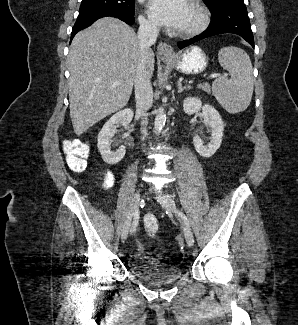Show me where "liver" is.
<instances>
[{
  "mask_svg": "<svg viewBox=\"0 0 298 325\" xmlns=\"http://www.w3.org/2000/svg\"><path fill=\"white\" fill-rule=\"evenodd\" d=\"M140 56L138 34L123 20L105 16L75 34L68 54L69 108L75 134L121 110L132 92ZM154 52L147 68L152 76ZM120 80L118 84H114Z\"/></svg>",
  "mask_w": 298,
  "mask_h": 325,
  "instance_id": "6515ba94",
  "label": "liver"
}]
</instances>
